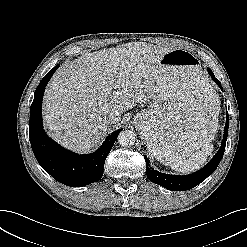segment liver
Returning a JSON list of instances; mask_svg holds the SVG:
<instances>
[{"instance_id":"6515ba94","label":"liver","mask_w":247,"mask_h":247,"mask_svg":"<svg viewBox=\"0 0 247 247\" xmlns=\"http://www.w3.org/2000/svg\"><path fill=\"white\" fill-rule=\"evenodd\" d=\"M171 50L126 43L61 66L46 88L42 106L50 136L72 151L89 152L105 135L109 113L121 116L153 97L164 80L158 64Z\"/></svg>"}]
</instances>
